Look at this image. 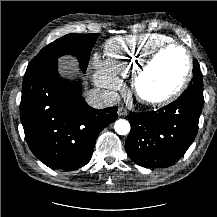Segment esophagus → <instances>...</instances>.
<instances>
[{
    "mask_svg": "<svg viewBox=\"0 0 217 217\" xmlns=\"http://www.w3.org/2000/svg\"><path fill=\"white\" fill-rule=\"evenodd\" d=\"M117 113H118L119 116H127L128 111H127L126 108H124V107L121 106V107H119Z\"/></svg>",
    "mask_w": 217,
    "mask_h": 217,
    "instance_id": "34e87169",
    "label": "esophagus"
}]
</instances>
